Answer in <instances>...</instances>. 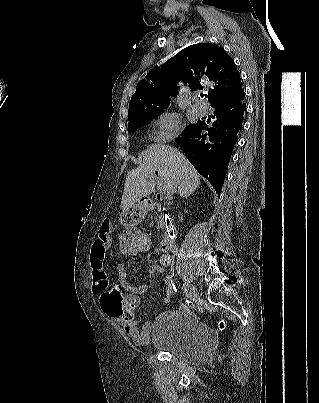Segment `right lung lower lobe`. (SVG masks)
<instances>
[{"instance_id": "right-lung-lower-lobe-1", "label": "right lung lower lobe", "mask_w": 319, "mask_h": 403, "mask_svg": "<svg viewBox=\"0 0 319 403\" xmlns=\"http://www.w3.org/2000/svg\"><path fill=\"white\" fill-rule=\"evenodd\" d=\"M244 97L245 94L213 105L215 120L211 127L205 120H199L189 125L181 138H176L190 163L208 179L218 194L244 120Z\"/></svg>"}]
</instances>
